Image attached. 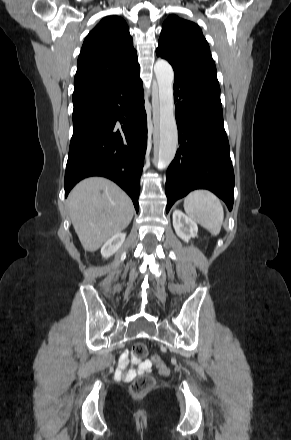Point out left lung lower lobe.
I'll return each instance as SVG.
<instances>
[{"label":"left lung lower lobe","instance_id":"left-lung-lower-lobe-1","mask_svg":"<svg viewBox=\"0 0 291 440\" xmlns=\"http://www.w3.org/2000/svg\"><path fill=\"white\" fill-rule=\"evenodd\" d=\"M179 149L167 170L166 212L194 189H208L233 207L234 172L218 84L174 72Z\"/></svg>","mask_w":291,"mask_h":440}]
</instances>
